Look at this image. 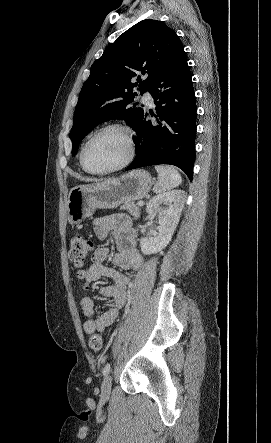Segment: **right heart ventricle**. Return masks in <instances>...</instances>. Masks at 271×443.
Listing matches in <instances>:
<instances>
[{
  "mask_svg": "<svg viewBox=\"0 0 271 443\" xmlns=\"http://www.w3.org/2000/svg\"><path fill=\"white\" fill-rule=\"evenodd\" d=\"M79 163H80V158H79ZM80 167L82 168L81 163H80ZM82 170L85 171L83 168H82ZM85 172H86V171H85Z\"/></svg>",
  "mask_w": 271,
  "mask_h": 443,
  "instance_id": "obj_1",
  "label": "right heart ventricle"
}]
</instances>
